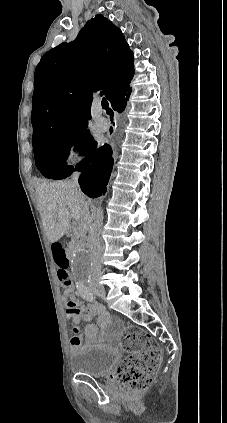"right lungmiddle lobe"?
<instances>
[{"instance_id":"dd1d6c3e","label":"right lung middle lobe","mask_w":227,"mask_h":423,"mask_svg":"<svg viewBox=\"0 0 227 423\" xmlns=\"http://www.w3.org/2000/svg\"><path fill=\"white\" fill-rule=\"evenodd\" d=\"M92 141L93 138L85 132L54 135L34 140L36 166L46 178L64 179L75 170L73 166L65 164L70 147L78 144L85 153Z\"/></svg>"}]
</instances>
